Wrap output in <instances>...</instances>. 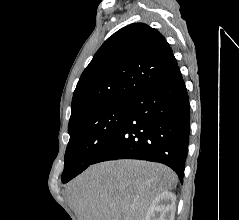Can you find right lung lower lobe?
<instances>
[{"label": "right lung lower lobe", "instance_id": "obj_1", "mask_svg": "<svg viewBox=\"0 0 239 220\" xmlns=\"http://www.w3.org/2000/svg\"><path fill=\"white\" fill-rule=\"evenodd\" d=\"M189 131V99L177 65L129 103L126 118L92 164L115 159L159 162L182 182Z\"/></svg>", "mask_w": 239, "mask_h": 220}]
</instances>
